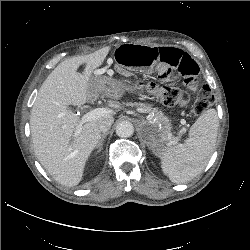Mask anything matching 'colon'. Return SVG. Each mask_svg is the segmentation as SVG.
<instances>
[{"label":"colon","instance_id":"1","mask_svg":"<svg viewBox=\"0 0 250 250\" xmlns=\"http://www.w3.org/2000/svg\"><path fill=\"white\" fill-rule=\"evenodd\" d=\"M144 87L148 93L158 97L166 106H184L188 102V96L177 87L159 86L155 83H146ZM214 102L211 90L204 86L193 105L196 115L204 113Z\"/></svg>","mask_w":250,"mask_h":250}]
</instances>
